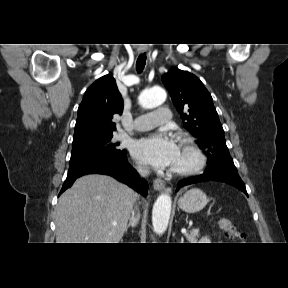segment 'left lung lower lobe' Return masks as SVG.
<instances>
[{
    "mask_svg": "<svg viewBox=\"0 0 288 288\" xmlns=\"http://www.w3.org/2000/svg\"><path fill=\"white\" fill-rule=\"evenodd\" d=\"M204 181L224 182L226 184L232 185L236 187L237 189L243 191L248 196L246 187L239 176H232V175L221 174V173H205L204 172L203 174L199 176L190 177V178H186V179L179 181L178 186L183 187L189 184H194V183L204 182Z\"/></svg>",
    "mask_w": 288,
    "mask_h": 288,
    "instance_id": "1",
    "label": "left lung lower lobe"
}]
</instances>
